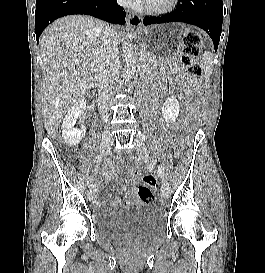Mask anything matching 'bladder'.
I'll return each instance as SVG.
<instances>
[{"label":"bladder","mask_w":265,"mask_h":273,"mask_svg":"<svg viewBox=\"0 0 265 273\" xmlns=\"http://www.w3.org/2000/svg\"><path fill=\"white\" fill-rule=\"evenodd\" d=\"M96 224L99 232L108 237H148L162 230L163 217L155 206L134 205L97 216Z\"/></svg>","instance_id":"31cf9c89"}]
</instances>
